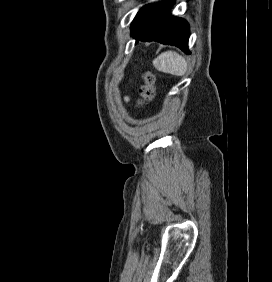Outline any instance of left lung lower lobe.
Segmentation results:
<instances>
[{
    "instance_id": "0a47b994",
    "label": "left lung lower lobe",
    "mask_w": 272,
    "mask_h": 282,
    "mask_svg": "<svg viewBox=\"0 0 272 282\" xmlns=\"http://www.w3.org/2000/svg\"><path fill=\"white\" fill-rule=\"evenodd\" d=\"M174 0L156 5H146L137 14L131 25V35L138 41H158L175 45L185 53L188 51L189 25L173 17L169 10Z\"/></svg>"
}]
</instances>
